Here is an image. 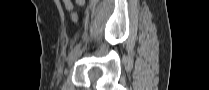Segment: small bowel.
Segmentation results:
<instances>
[{"instance_id": "1", "label": "small bowel", "mask_w": 209, "mask_h": 90, "mask_svg": "<svg viewBox=\"0 0 209 90\" xmlns=\"http://www.w3.org/2000/svg\"><path fill=\"white\" fill-rule=\"evenodd\" d=\"M79 4H84V1L79 0ZM64 6L68 11L73 10V3L69 0H64Z\"/></svg>"}]
</instances>
